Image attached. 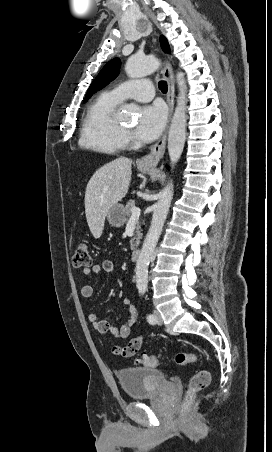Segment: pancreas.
I'll return each mask as SVG.
<instances>
[{
    "instance_id": "pancreas-1",
    "label": "pancreas",
    "mask_w": 272,
    "mask_h": 452,
    "mask_svg": "<svg viewBox=\"0 0 272 452\" xmlns=\"http://www.w3.org/2000/svg\"><path fill=\"white\" fill-rule=\"evenodd\" d=\"M135 206L134 200H129L125 206V214L127 217H130L132 214V208ZM142 238L141 225L139 222L136 224L135 234L133 238L130 240V248L134 250L140 243V239Z\"/></svg>"
}]
</instances>
